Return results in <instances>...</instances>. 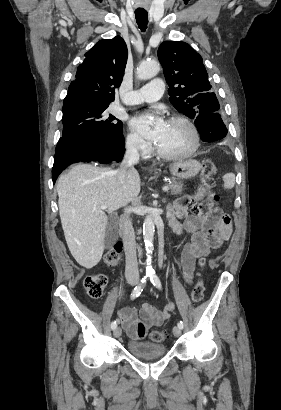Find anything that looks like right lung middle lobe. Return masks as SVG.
Returning <instances> with one entry per match:
<instances>
[{"instance_id":"1","label":"right lung middle lobe","mask_w":281,"mask_h":410,"mask_svg":"<svg viewBox=\"0 0 281 410\" xmlns=\"http://www.w3.org/2000/svg\"><path fill=\"white\" fill-rule=\"evenodd\" d=\"M109 105L76 103L63 106V135L57 147L97 139H115L123 135L122 122L107 115Z\"/></svg>"}]
</instances>
